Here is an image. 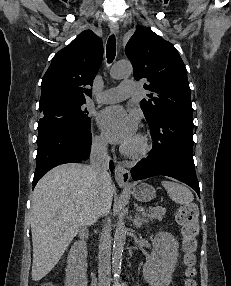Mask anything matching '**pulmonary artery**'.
Here are the masks:
<instances>
[{
  "mask_svg": "<svg viewBox=\"0 0 231 286\" xmlns=\"http://www.w3.org/2000/svg\"><path fill=\"white\" fill-rule=\"evenodd\" d=\"M136 91L137 83L134 80H124L119 86L100 92L95 100L102 104L115 103L135 94Z\"/></svg>",
  "mask_w": 231,
  "mask_h": 286,
  "instance_id": "obj_1",
  "label": "pulmonary artery"
}]
</instances>
